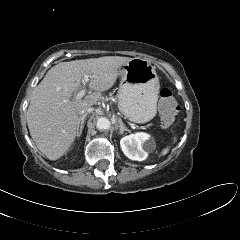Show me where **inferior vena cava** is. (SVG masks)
Segmentation results:
<instances>
[{
  "instance_id": "602c4592",
  "label": "inferior vena cava",
  "mask_w": 240,
  "mask_h": 240,
  "mask_svg": "<svg viewBox=\"0 0 240 240\" xmlns=\"http://www.w3.org/2000/svg\"><path fill=\"white\" fill-rule=\"evenodd\" d=\"M92 112V108L91 107H87V108H84L82 109L80 112H79V115H80V118L84 115H87L88 113Z\"/></svg>"
}]
</instances>
